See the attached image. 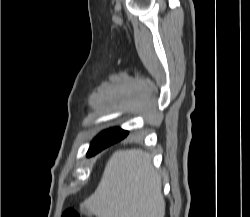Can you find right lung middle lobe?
Segmentation results:
<instances>
[{
  "instance_id": "obj_1",
  "label": "right lung middle lobe",
  "mask_w": 250,
  "mask_h": 217,
  "mask_svg": "<svg viewBox=\"0 0 250 217\" xmlns=\"http://www.w3.org/2000/svg\"><path fill=\"white\" fill-rule=\"evenodd\" d=\"M128 135V131L120 128H112L103 131L91 143L87 156H93L110 145L124 139Z\"/></svg>"
}]
</instances>
